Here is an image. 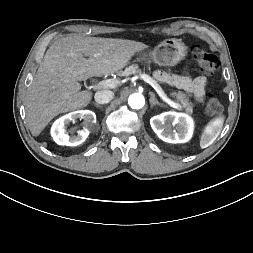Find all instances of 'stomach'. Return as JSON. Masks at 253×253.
I'll return each instance as SVG.
<instances>
[{
    "instance_id": "obj_1",
    "label": "stomach",
    "mask_w": 253,
    "mask_h": 253,
    "mask_svg": "<svg viewBox=\"0 0 253 253\" xmlns=\"http://www.w3.org/2000/svg\"><path fill=\"white\" fill-rule=\"evenodd\" d=\"M187 56L186 45L178 39H166L162 41L150 53L141 52L138 60L152 59L160 66H174Z\"/></svg>"
}]
</instances>
